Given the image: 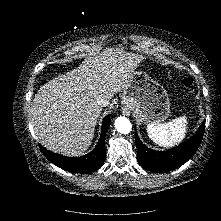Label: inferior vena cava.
Returning <instances> with one entry per match:
<instances>
[{"instance_id":"602c4592","label":"inferior vena cava","mask_w":221,"mask_h":221,"mask_svg":"<svg viewBox=\"0 0 221 221\" xmlns=\"http://www.w3.org/2000/svg\"><path fill=\"white\" fill-rule=\"evenodd\" d=\"M96 103L98 104V105H100V106H107L108 105V101L106 100V99H103V98H98L97 100H96Z\"/></svg>"}]
</instances>
